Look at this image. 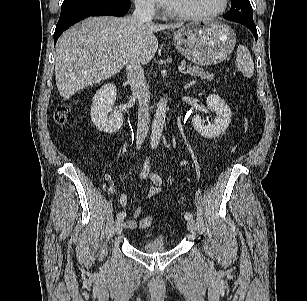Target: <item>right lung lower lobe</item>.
I'll return each instance as SVG.
<instances>
[{"mask_svg": "<svg viewBox=\"0 0 307 301\" xmlns=\"http://www.w3.org/2000/svg\"><path fill=\"white\" fill-rule=\"evenodd\" d=\"M129 8L130 2L125 0H92L62 8L54 33V44L63 31L88 16H123Z\"/></svg>", "mask_w": 307, "mask_h": 301, "instance_id": "right-lung-lower-lobe-1", "label": "right lung lower lobe"}]
</instances>
